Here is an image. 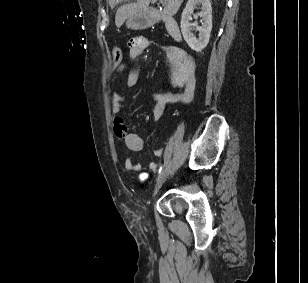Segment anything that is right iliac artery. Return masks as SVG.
<instances>
[{
	"label": "right iliac artery",
	"mask_w": 308,
	"mask_h": 283,
	"mask_svg": "<svg viewBox=\"0 0 308 283\" xmlns=\"http://www.w3.org/2000/svg\"><path fill=\"white\" fill-rule=\"evenodd\" d=\"M161 171H162V166L159 168V170H158V174H160V173H161Z\"/></svg>",
	"instance_id": "1"
}]
</instances>
